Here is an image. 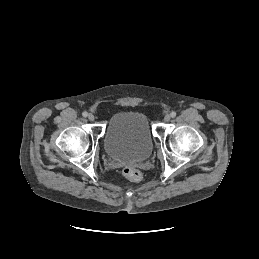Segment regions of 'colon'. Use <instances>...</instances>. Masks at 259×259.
I'll return each mask as SVG.
<instances>
[{"label":"colon","mask_w":259,"mask_h":259,"mask_svg":"<svg viewBox=\"0 0 259 259\" xmlns=\"http://www.w3.org/2000/svg\"><path fill=\"white\" fill-rule=\"evenodd\" d=\"M122 172L123 175L130 181L137 182L141 179V173L136 168L127 166L123 168Z\"/></svg>","instance_id":"1"}]
</instances>
